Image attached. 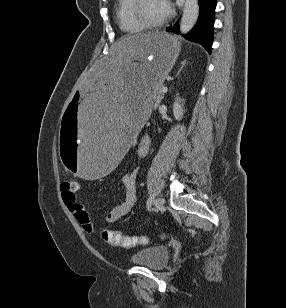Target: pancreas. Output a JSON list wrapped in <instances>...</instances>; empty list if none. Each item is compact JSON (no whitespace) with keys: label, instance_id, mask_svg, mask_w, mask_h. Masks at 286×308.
Wrapping results in <instances>:
<instances>
[{"label":"pancreas","instance_id":"cf45deb5","mask_svg":"<svg viewBox=\"0 0 286 308\" xmlns=\"http://www.w3.org/2000/svg\"><path fill=\"white\" fill-rule=\"evenodd\" d=\"M162 98H163V94H162L161 90H157L155 97H154L153 105L157 106Z\"/></svg>","mask_w":286,"mask_h":308}]
</instances>
